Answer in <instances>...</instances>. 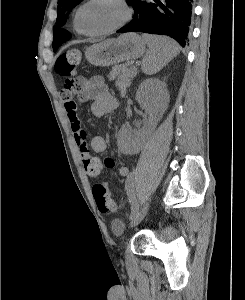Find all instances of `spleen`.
Here are the masks:
<instances>
[{
    "mask_svg": "<svg viewBox=\"0 0 245 300\" xmlns=\"http://www.w3.org/2000/svg\"><path fill=\"white\" fill-rule=\"evenodd\" d=\"M150 52L143 58L141 69L146 75L159 72L169 61L179 54L175 41L165 36L143 34Z\"/></svg>",
    "mask_w": 245,
    "mask_h": 300,
    "instance_id": "obj_1",
    "label": "spleen"
}]
</instances>
